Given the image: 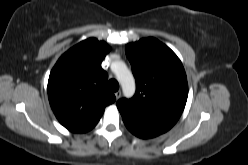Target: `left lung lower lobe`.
Listing matches in <instances>:
<instances>
[{
	"label": "left lung lower lobe",
	"mask_w": 248,
	"mask_h": 165,
	"mask_svg": "<svg viewBox=\"0 0 248 165\" xmlns=\"http://www.w3.org/2000/svg\"><path fill=\"white\" fill-rule=\"evenodd\" d=\"M123 121H124L127 129L131 133L136 135L137 137L146 139V138H152V137L160 135V133H158V132L140 128V127L132 124L131 122H129V121L125 120V119H123Z\"/></svg>",
	"instance_id": "left-lung-lower-lobe-1"
}]
</instances>
